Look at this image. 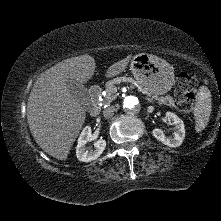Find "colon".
Listing matches in <instances>:
<instances>
[{"label":"colon","instance_id":"1","mask_svg":"<svg viewBox=\"0 0 221 221\" xmlns=\"http://www.w3.org/2000/svg\"><path fill=\"white\" fill-rule=\"evenodd\" d=\"M198 84L197 78L186 72L180 73L175 81L176 106L183 112L193 110V92Z\"/></svg>","mask_w":221,"mask_h":221}]
</instances>
